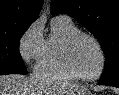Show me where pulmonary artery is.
<instances>
[{
	"label": "pulmonary artery",
	"mask_w": 119,
	"mask_h": 95,
	"mask_svg": "<svg viewBox=\"0 0 119 95\" xmlns=\"http://www.w3.org/2000/svg\"><path fill=\"white\" fill-rule=\"evenodd\" d=\"M62 17H66V18H69L68 16H65V15H63Z\"/></svg>",
	"instance_id": "pulmonary-artery-1"
}]
</instances>
